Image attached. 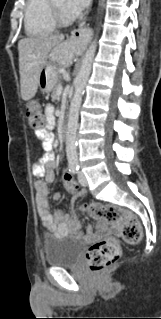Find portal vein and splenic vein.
Instances as JSON below:
<instances>
[{"mask_svg":"<svg viewBox=\"0 0 161 319\" xmlns=\"http://www.w3.org/2000/svg\"><path fill=\"white\" fill-rule=\"evenodd\" d=\"M62 90H63V88H62V86H60V87L58 88V90H57V95H61Z\"/></svg>","mask_w":161,"mask_h":319,"instance_id":"18ae733b","label":"portal vein and splenic vein"}]
</instances>
